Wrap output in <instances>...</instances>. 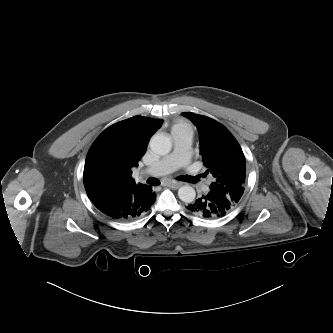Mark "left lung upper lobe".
<instances>
[{"mask_svg":"<svg viewBox=\"0 0 333 333\" xmlns=\"http://www.w3.org/2000/svg\"><path fill=\"white\" fill-rule=\"evenodd\" d=\"M200 132V153L214 181L210 190L226 196L237 206L244 192L245 156L233 135L217 121L191 112L181 113Z\"/></svg>","mask_w":333,"mask_h":333,"instance_id":"1","label":"left lung upper lobe"}]
</instances>
